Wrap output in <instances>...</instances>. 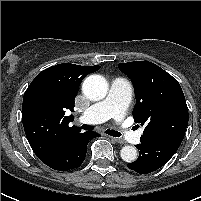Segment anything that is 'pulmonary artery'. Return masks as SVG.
I'll return each mask as SVG.
<instances>
[{
  "label": "pulmonary artery",
  "instance_id": "obj_1",
  "mask_svg": "<svg viewBox=\"0 0 201 201\" xmlns=\"http://www.w3.org/2000/svg\"><path fill=\"white\" fill-rule=\"evenodd\" d=\"M132 88L124 78H115L111 81L106 98L86 110L79 120L88 124H96L108 119L121 121L131 101ZM120 133L129 142L138 143L140 133L120 128Z\"/></svg>",
  "mask_w": 201,
  "mask_h": 201
}]
</instances>
